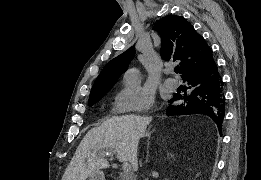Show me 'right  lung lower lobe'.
<instances>
[{"label":"right lung lower lobe","mask_w":261,"mask_h":180,"mask_svg":"<svg viewBox=\"0 0 261 180\" xmlns=\"http://www.w3.org/2000/svg\"><path fill=\"white\" fill-rule=\"evenodd\" d=\"M187 81L188 94H175L170 103L179 100V105H170L167 115L204 114L213 119L221 134L225 115V95L222 78L214 61L195 68L182 76Z\"/></svg>","instance_id":"obj_1"}]
</instances>
